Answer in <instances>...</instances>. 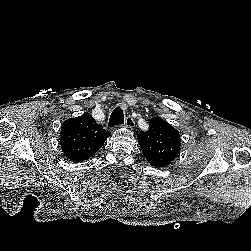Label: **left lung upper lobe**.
<instances>
[{
  "mask_svg": "<svg viewBox=\"0 0 251 251\" xmlns=\"http://www.w3.org/2000/svg\"><path fill=\"white\" fill-rule=\"evenodd\" d=\"M144 157L158 168L166 167L179 154L181 140L178 130L156 117L149 122V130L137 136Z\"/></svg>",
  "mask_w": 251,
  "mask_h": 251,
  "instance_id": "1",
  "label": "left lung upper lobe"
}]
</instances>
